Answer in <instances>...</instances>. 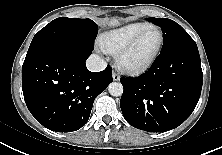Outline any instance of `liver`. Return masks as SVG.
I'll list each match as a JSON object with an SVG mask.
<instances>
[{"label":"liver","mask_w":222,"mask_h":155,"mask_svg":"<svg viewBox=\"0 0 222 155\" xmlns=\"http://www.w3.org/2000/svg\"><path fill=\"white\" fill-rule=\"evenodd\" d=\"M101 24H106V25H108V26H117V25H119L120 24V19H118L117 17H113V18H110V19H108V20H102L101 22H100Z\"/></svg>","instance_id":"liver-1"}]
</instances>
